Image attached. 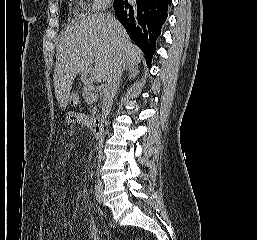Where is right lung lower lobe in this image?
Returning a JSON list of instances; mask_svg holds the SVG:
<instances>
[{
    "label": "right lung lower lobe",
    "instance_id": "right-lung-lower-lobe-1",
    "mask_svg": "<svg viewBox=\"0 0 257 240\" xmlns=\"http://www.w3.org/2000/svg\"><path fill=\"white\" fill-rule=\"evenodd\" d=\"M171 2L172 0H136L131 3L128 0H114L113 7L118 20L143 51L149 66Z\"/></svg>",
    "mask_w": 257,
    "mask_h": 240
}]
</instances>
